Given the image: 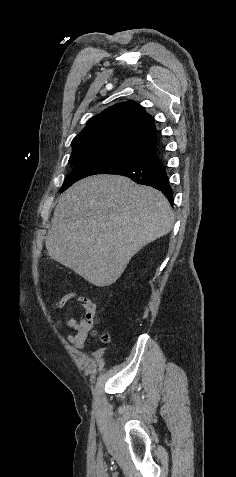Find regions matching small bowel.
<instances>
[{
  "label": "small bowel",
  "mask_w": 236,
  "mask_h": 477,
  "mask_svg": "<svg viewBox=\"0 0 236 477\" xmlns=\"http://www.w3.org/2000/svg\"><path fill=\"white\" fill-rule=\"evenodd\" d=\"M77 296L76 292L66 293L61 299L55 302L57 308L65 307L72 299ZM78 303L81 305L82 314L79 318L72 315L71 310L65 314V321L68 327L75 331V334L67 335V339L77 347H82L87 340L88 334L93 326V320L96 315V304L88 297H77ZM62 319L57 320V327H61Z\"/></svg>",
  "instance_id": "small-bowel-1"
}]
</instances>
